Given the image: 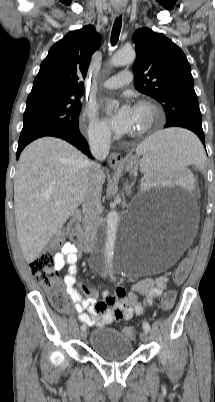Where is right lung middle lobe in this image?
Returning a JSON list of instances; mask_svg holds the SVG:
<instances>
[{
  "instance_id": "right-lung-middle-lobe-1",
  "label": "right lung middle lobe",
  "mask_w": 215,
  "mask_h": 402,
  "mask_svg": "<svg viewBox=\"0 0 215 402\" xmlns=\"http://www.w3.org/2000/svg\"><path fill=\"white\" fill-rule=\"evenodd\" d=\"M80 96L57 93L28 96L18 145L42 136L79 130Z\"/></svg>"
}]
</instances>
